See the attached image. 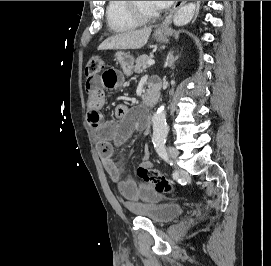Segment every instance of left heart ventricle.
I'll list each match as a JSON object with an SVG mask.
<instances>
[{"instance_id": "1", "label": "left heart ventricle", "mask_w": 271, "mask_h": 266, "mask_svg": "<svg viewBox=\"0 0 271 266\" xmlns=\"http://www.w3.org/2000/svg\"><path fill=\"white\" fill-rule=\"evenodd\" d=\"M137 8L146 15H153L158 13L152 1H136Z\"/></svg>"}]
</instances>
